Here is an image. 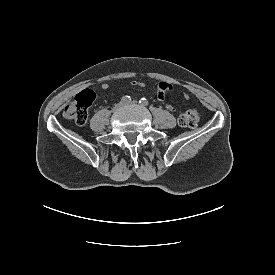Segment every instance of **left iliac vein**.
<instances>
[{
    "label": "left iliac vein",
    "mask_w": 275,
    "mask_h": 275,
    "mask_svg": "<svg viewBox=\"0 0 275 275\" xmlns=\"http://www.w3.org/2000/svg\"><path fill=\"white\" fill-rule=\"evenodd\" d=\"M135 104H136V101H132V102L126 103L124 105H135Z\"/></svg>",
    "instance_id": "left-iliac-vein-1"
}]
</instances>
